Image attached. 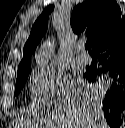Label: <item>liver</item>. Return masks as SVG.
Wrapping results in <instances>:
<instances>
[{"mask_svg":"<svg viewBox=\"0 0 125 128\" xmlns=\"http://www.w3.org/2000/svg\"><path fill=\"white\" fill-rule=\"evenodd\" d=\"M62 103L42 120L49 128H106L101 111L103 90L85 81L68 82Z\"/></svg>","mask_w":125,"mask_h":128,"instance_id":"1","label":"liver"}]
</instances>
